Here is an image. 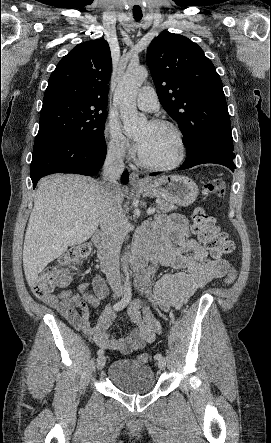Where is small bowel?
I'll return each mask as SVG.
<instances>
[{
  "instance_id": "1",
  "label": "small bowel",
  "mask_w": 271,
  "mask_h": 443,
  "mask_svg": "<svg viewBox=\"0 0 271 443\" xmlns=\"http://www.w3.org/2000/svg\"><path fill=\"white\" fill-rule=\"evenodd\" d=\"M151 258V271L158 265L175 270L163 275L152 289L146 275L137 281L141 293L148 297L154 307L162 311L181 308L198 289L222 278L229 268L225 259L209 255L190 235L187 221L181 215H172L162 225L159 244L153 250ZM90 285L93 293L88 290ZM108 291L106 281L101 276H94L90 283H80L75 291L63 290L58 298L51 295L42 300L102 350L129 355L152 343L161 333V324L151 307L143 305L139 300L133 301L128 307L127 317L133 328L126 336H111L110 328L117 320V314L111 307L104 310L95 326L90 325L88 307L97 306Z\"/></svg>"
}]
</instances>
